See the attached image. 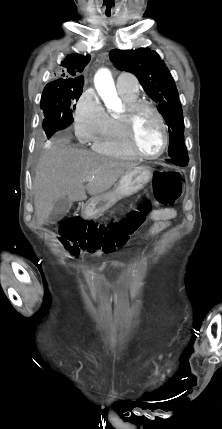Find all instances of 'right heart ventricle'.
Segmentation results:
<instances>
[{
    "mask_svg": "<svg viewBox=\"0 0 222 429\" xmlns=\"http://www.w3.org/2000/svg\"><path fill=\"white\" fill-rule=\"evenodd\" d=\"M119 94L125 103L138 99V92L119 91ZM93 149L116 158L133 160L137 157L126 144L120 116L113 113L107 115L105 127L94 140Z\"/></svg>",
    "mask_w": 222,
    "mask_h": 429,
    "instance_id": "obj_1",
    "label": "right heart ventricle"
}]
</instances>
